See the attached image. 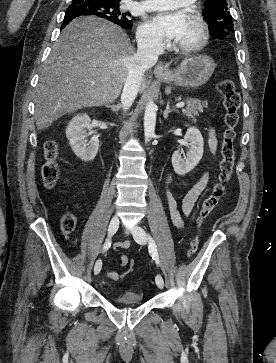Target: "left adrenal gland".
<instances>
[{
    "instance_id": "a2214340",
    "label": "left adrenal gland",
    "mask_w": 276,
    "mask_h": 363,
    "mask_svg": "<svg viewBox=\"0 0 276 363\" xmlns=\"http://www.w3.org/2000/svg\"><path fill=\"white\" fill-rule=\"evenodd\" d=\"M171 112H178V111L176 109H170L169 102H168L167 105H166V109L164 110V113H163L164 119H167L168 118V115Z\"/></svg>"
}]
</instances>
